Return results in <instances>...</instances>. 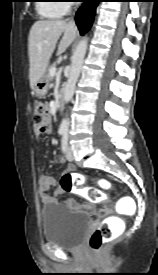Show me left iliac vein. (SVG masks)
Wrapping results in <instances>:
<instances>
[{"mask_svg": "<svg viewBox=\"0 0 158 275\" xmlns=\"http://www.w3.org/2000/svg\"><path fill=\"white\" fill-rule=\"evenodd\" d=\"M65 156H66L67 160H69V161H73L74 160L73 150H72V148L70 146L67 148Z\"/></svg>", "mask_w": 158, "mask_h": 275, "instance_id": "obj_1", "label": "left iliac vein"}]
</instances>
